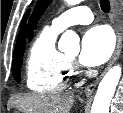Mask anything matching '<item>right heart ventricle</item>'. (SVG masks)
I'll return each mask as SVG.
<instances>
[{
  "instance_id": "right-heart-ventricle-1",
  "label": "right heart ventricle",
  "mask_w": 123,
  "mask_h": 113,
  "mask_svg": "<svg viewBox=\"0 0 123 113\" xmlns=\"http://www.w3.org/2000/svg\"><path fill=\"white\" fill-rule=\"evenodd\" d=\"M60 31L43 28L33 41L26 61V85L37 93L63 90L71 76L70 63L56 46Z\"/></svg>"
}]
</instances>
